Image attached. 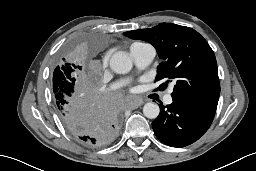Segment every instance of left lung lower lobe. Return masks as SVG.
<instances>
[{
  "mask_svg": "<svg viewBox=\"0 0 256 171\" xmlns=\"http://www.w3.org/2000/svg\"><path fill=\"white\" fill-rule=\"evenodd\" d=\"M173 102L161 106L152 122L157 138L172 147H184L198 140L210 127L218 104L191 94L172 95Z\"/></svg>",
  "mask_w": 256,
  "mask_h": 171,
  "instance_id": "0a47b994",
  "label": "left lung lower lobe"
}]
</instances>
